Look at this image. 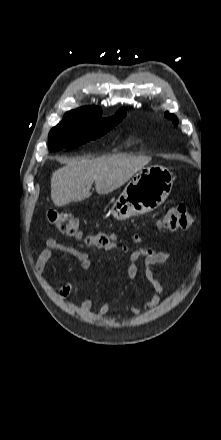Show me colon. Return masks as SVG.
Listing matches in <instances>:
<instances>
[{
    "mask_svg": "<svg viewBox=\"0 0 221 440\" xmlns=\"http://www.w3.org/2000/svg\"><path fill=\"white\" fill-rule=\"evenodd\" d=\"M47 217L59 232L77 239H83L89 246L104 249L115 240L113 234L105 231L85 235L80 221L71 213L50 210ZM193 222L194 216L188 208L184 205H178L167 210L161 220V227L164 230L176 232L190 227Z\"/></svg>",
    "mask_w": 221,
    "mask_h": 440,
    "instance_id": "5ec220e1",
    "label": "colon"
}]
</instances>
